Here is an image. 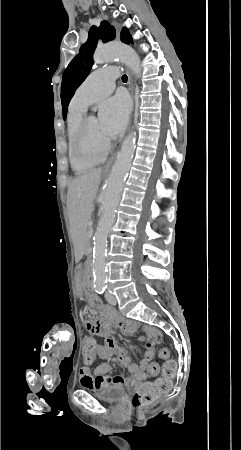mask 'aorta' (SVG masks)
I'll return each instance as SVG.
<instances>
[{
	"label": "aorta",
	"instance_id": "1",
	"mask_svg": "<svg viewBox=\"0 0 241 450\" xmlns=\"http://www.w3.org/2000/svg\"><path fill=\"white\" fill-rule=\"evenodd\" d=\"M114 59H119L125 63L136 76L140 75V59L132 47L116 42L100 46L95 51V63L101 64ZM135 148L136 132L132 131L123 141L106 182L103 211L93 237V276L96 287H103L107 281V237L115 220L116 209L121 199L126 176L131 167Z\"/></svg>",
	"mask_w": 241,
	"mask_h": 450
}]
</instances>
